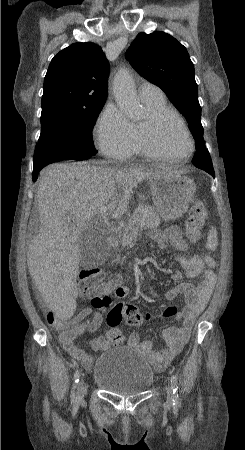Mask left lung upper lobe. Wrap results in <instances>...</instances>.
I'll return each instance as SVG.
<instances>
[{"mask_svg": "<svg viewBox=\"0 0 245 450\" xmlns=\"http://www.w3.org/2000/svg\"><path fill=\"white\" fill-rule=\"evenodd\" d=\"M125 57L140 75L165 92L187 119L196 145L205 146L194 66L186 48L164 32L139 33ZM198 155L192 161L196 167L212 166L209 152L205 159Z\"/></svg>", "mask_w": 245, "mask_h": 450, "instance_id": "1", "label": "left lung upper lobe"}]
</instances>
